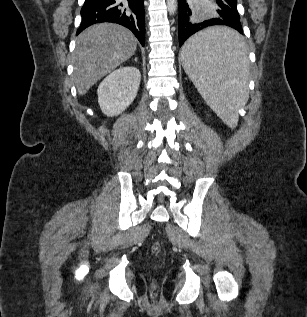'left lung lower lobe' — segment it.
I'll return each mask as SVG.
<instances>
[{
  "label": "left lung lower lobe",
  "mask_w": 307,
  "mask_h": 317,
  "mask_svg": "<svg viewBox=\"0 0 307 317\" xmlns=\"http://www.w3.org/2000/svg\"><path fill=\"white\" fill-rule=\"evenodd\" d=\"M218 6V18L197 22L191 17L192 12L187 0H179V46L197 31L211 25H226L243 34L237 3L233 0H215ZM242 49L240 40L226 42L221 46V52L226 58L235 57Z\"/></svg>",
  "instance_id": "0a47b994"
}]
</instances>
